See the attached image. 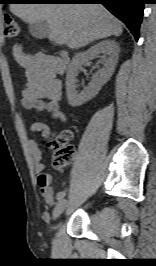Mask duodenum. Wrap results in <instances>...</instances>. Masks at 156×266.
Masks as SVG:
<instances>
[{
	"instance_id": "1",
	"label": "duodenum",
	"mask_w": 156,
	"mask_h": 266,
	"mask_svg": "<svg viewBox=\"0 0 156 266\" xmlns=\"http://www.w3.org/2000/svg\"><path fill=\"white\" fill-rule=\"evenodd\" d=\"M69 54L66 51H62L60 53L59 59L56 60L55 68L57 70V73H60L64 70L66 64L69 61Z\"/></svg>"
}]
</instances>
